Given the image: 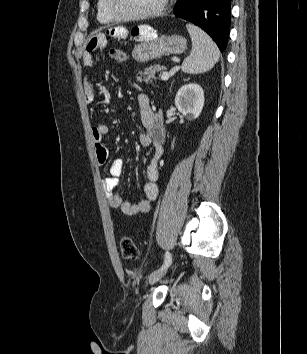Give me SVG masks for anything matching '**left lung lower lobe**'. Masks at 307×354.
Wrapping results in <instances>:
<instances>
[{
  "instance_id": "1",
  "label": "left lung lower lobe",
  "mask_w": 307,
  "mask_h": 354,
  "mask_svg": "<svg viewBox=\"0 0 307 354\" xmlns=\"http://www.w3.org/2000/svg\"><path fill=\"white\" fill-rule=\"evenodd\" d=\"M176 17L201 27L224 51L229 37L231 0H177Z\"/></svg>"
}]
</instances>
